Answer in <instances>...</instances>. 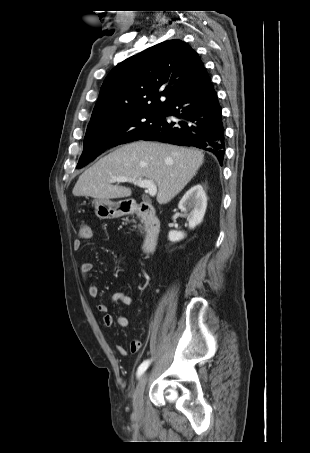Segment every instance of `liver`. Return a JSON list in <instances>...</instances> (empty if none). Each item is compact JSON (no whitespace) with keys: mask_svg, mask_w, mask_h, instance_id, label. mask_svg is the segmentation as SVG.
I'll list each match as a JSON object with an SVG mask.
<instances>
[{"mask_svg":"<svg viewBox=\"0 0 310 453\" xmlns=\"http://www.w3.org/2000/svg\"><path fill=\"white\" fill-rule=\"evenodd\" d=\"M204 154L159 142L137 141L117 148L85 170L78 178L74 196L95 199L129 197L131 189L112 185V177L149 179L158 186L157 202H170L194 177L203 164Z\"/></svg>","mask_w":310,"mask_h":453,"instance_id":"1","label":"liver"}]
</instances>
